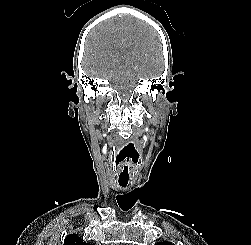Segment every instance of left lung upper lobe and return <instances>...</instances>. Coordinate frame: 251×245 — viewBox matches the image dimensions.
I'll return each instance as SVG.
<instances>
[{
  "instance_id": "obj_1",
  "label": "left lung upper lobe",
  "mask_w": 251,
  "mask_h": 245,
  "mask_svg": "<svg viewBox=\"0 0 251 245\" xmlns=\"http://www.w3.org/2000/svg\"><path fill=\"white\" fill-rule=\"evenodd\" d=\"M157 245H174V244H172V243H170V242H160V243H158Z\"/></svg>"
}]
</instances>
